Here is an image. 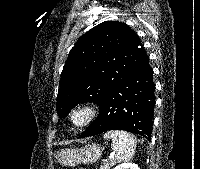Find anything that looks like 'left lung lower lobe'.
<instances>
[{
    "instance_id": "obj_1",
    "label": "left lung lower lobe",
    "mask_w": 200,
    "mask_h": 169,
    "mask_svg": "<svg viewBox=\"0 0 200 169\" xmlns=\"http://www.w3.org/2000/svg\"><path fill=\"white\" fill-rule=\"evenodd\" d=\"M155 85L149 57L143 59L122 82L104 97L98 118L79 136H94L107 130H125L150 139L155 106Z\"/></svg>"
}]
</instances>
